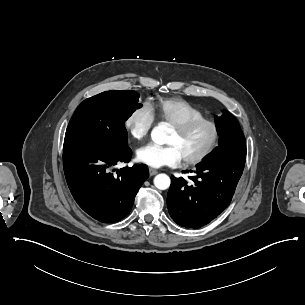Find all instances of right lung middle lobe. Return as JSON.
Returning a JSON list of instances; mask_svg holds the SVG:
<instances>
[{
    "label": "right lung middle lobe",
    "instance_id": "dd1d6c3e",
    "mask_svg": "<svg viewBox=\"0 0 305 305\" xmlns=\"http://www.w3.org/2000/svg\"><path fill=\"white\" fill-rule=\"evenodd\" d=\"M138 99L136 91L113 90L84 100L68 124L64 149L89 147L113 151L127 147L125 121L142 106Z\"/></svg>",
    "mask_w": 305,
    "mask_h": 305
}]
</instances>
